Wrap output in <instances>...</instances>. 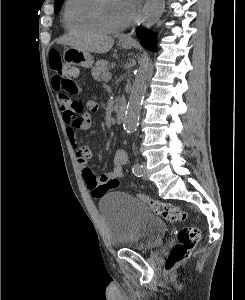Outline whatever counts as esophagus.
Wrapping results in <instances>:
<instances>
[{
	"label": "esophagus",
	"instance_id": "obj_1",
	"mask_svg": "<svg viewBox=\"0 0 245 300\" xmlns=\"http://www.w3.org/2000/svg\"><path fill=\"white\" fill-rule=\"evenodd\" d=\"M120 40L121 41H131L132 40V37H131V34H124L120 37Z\"/></svg>",
	"mask_w": 245,
	"mask_h": 300
}]
</instances>
